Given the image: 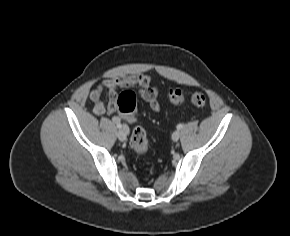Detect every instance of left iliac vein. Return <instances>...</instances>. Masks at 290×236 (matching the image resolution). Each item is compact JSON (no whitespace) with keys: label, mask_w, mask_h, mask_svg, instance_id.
Masks as SVG:
<instances>
[{"label":"left iliac vein","mask_w":290,"mask_h":236,"mask_svg":"<svg viewBox=\"0 0 290 236\" xmlns=\"http://www.w3.org/2000/svg\"><path fill=\"white\" fill-rule=\"evenodd\" d=\"M180 136H181L180 131H179V130H176V131H174L173 134H172V140H173V141H178L179 138H180Z\"/></svg>","instance_id":"4c4485c4"}]
</instances>
